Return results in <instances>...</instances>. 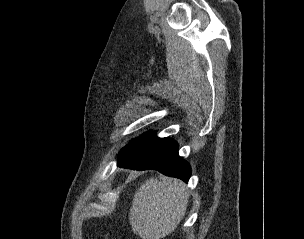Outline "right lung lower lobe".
Listing matches in <instances>:
<instances>
[{"instance_id":"98d812e1","label":"right lung lower lobe","mask_w":304,"mask_h":239,"mask_svg":"<svg viewBox=\"0 0 304 239\" xmlns=\"http://www.w3.org/2000/svg\"><path fill=\"white\" fill-rule=\"evenodd\" d=\"M118 166L133 170L154 169L187 182L191 175L188 162L178 155V144L169 138H158L152 132L124 147Z\"/></svg>"}]
</instances>
